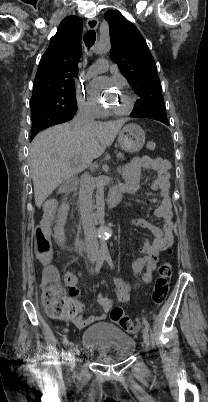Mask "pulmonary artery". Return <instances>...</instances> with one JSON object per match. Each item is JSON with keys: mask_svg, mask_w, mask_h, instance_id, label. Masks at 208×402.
I'll return each mask as SVG.
<instances>
[{"mask_svg": "<svg viewBox=\"0 0 208 402\" xmlns=\"http://www.w3.org/2000/svg\"><path fill=\"white\" fill-rule=\"evenodd\" d=\"M107 62L105 60H100L98 63H95L93 65H91L87 72L88 74H96L99 73L101 71H104L107 69Z\"/></svg>", "mask_w": 208, "mask_h": 402, "instance_id": "1", "label": "pulmonary artery"}]
</instances>
